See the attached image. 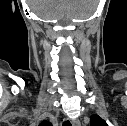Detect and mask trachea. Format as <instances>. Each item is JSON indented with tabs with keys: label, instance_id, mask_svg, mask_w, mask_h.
<instances>
[{
	"label": "trachea",
	"instance_id": "obj_1",
	"mask_svg": "<svg viewBox=\"0 0 127 126\" xmlns=\"http://www.w3.org/2000/svg\"><path fill=\"white\" fill-rule=\"evenodd\" d=\"M63 126H71V123L69 121L63 122Z\"/></svg>",
	"mask_w": 127,
	"mask_h": 126
}]
</instances>
